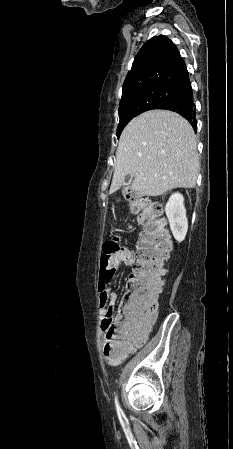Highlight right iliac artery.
I'll use <instances>...</instances> for the list:
<instances>
[{"mask_svg":"<svg viewBox=\"0 0 233 449\" xmlns=\"http://www.w3.org/2000/svg\"><path fill=\"white\" fill-rule=\"evenodd\" d=\"M115 405H116V409H117L118 414H119V415H120V414H123V413H122V410H121V408H120V405H119V403H118L117 396H115Z\"/></svg>","mask_w":233,"mask_h":449,"instance_id":"obj_1","label":"right iliac artery"}]
</instances>
